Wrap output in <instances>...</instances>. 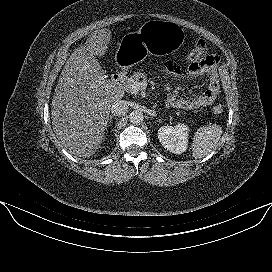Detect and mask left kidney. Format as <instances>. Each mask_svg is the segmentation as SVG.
Instances as JSON below:
<instances>
[{
	"label": "left kidney",
	"instance_id": "obj_1",
	"mask_svg": "<svg viewBox=\"0 0 272 272\" xmlns=\"http://www.w3.org/2000/svg\"><path fill=\"white\" fill-rule=\"evenodd\" d=\"M189 127L178 123L175 126H162L158 130V139L162 146L174 154H182L187 150Z\"/></svg>",
	"mask_w": 272,
	"mask_h": 272
}]
</instances>
